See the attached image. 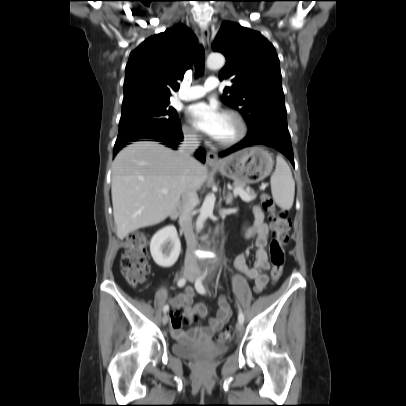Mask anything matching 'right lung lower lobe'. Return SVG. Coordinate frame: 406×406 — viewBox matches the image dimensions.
I'll use <instances>...</instances> for the list:
<instances>
[{
    "mask_svg": "<svg viewBox=\"0 0 406 406\" xmlns=\"http://www.w3.org/2000/svg\"><path fill=\"white\" fill-rule=\"evenodd\" d=\"M182 138L183 135L180 129V125H178L175 129L166 133H161L152 136L129 138L121 141L117 140L114 146L113 154L115 156L123 147L129 144V142L139 141L140 139H151L152 141L161 142V144L166 145L167 147L176 149L178 147L179 142L182 141ZM195 157L198 160L204 162L206 158V153L203 149L200 148L196 151Z\"/></svg>",
    "mask_w": 406,
    "mask_h": 406,
    "instance_id": "98d812e1",
    "label": "right lung lower lobe"
}]
</instances>
